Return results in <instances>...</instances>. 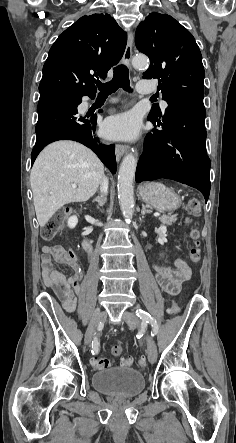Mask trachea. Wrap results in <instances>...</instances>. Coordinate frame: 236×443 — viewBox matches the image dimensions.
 <instances>
[{"instance_id": "3493384b", "label": "trachea", "mask_w": 236, "mask_h": 443, "mask_svg": "<svg viewBox=\"0 0 236 443\" xmlns=\"http://www.w3.org/2000/svg\"><path fill=\"white\" fill-rule=\"evenodd\" d=\"M100 90L99 96L107 97L114 93L118 88H123L126 91H130L129 71L127 66L121 64L114 68V76L110 82L96 83Z\"/></svg>"}]
</instances>
